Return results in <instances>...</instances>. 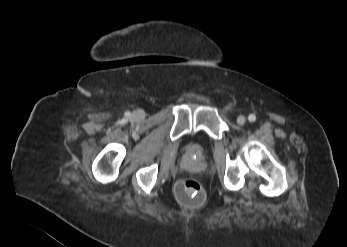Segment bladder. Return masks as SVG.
I'll list each match as a JSON object with an SVG mask.
<instances>
[{
    "label": "bladder",
    "instance_id": "31cf9c89",
    "mask_svg": "<svg viewBox=\"0 0 347 247\" xmlns=\"http://www.w3.org/2000/svg\"><path fill=\"white\" fill-rule=\"evenodd\" d=\"M206 145L202 142H194L189 146L190 154L197 157H202L205 153Z\"/></svg>",
    "mask_w": 347,
    "mask_h": 247
}]
</instances>
